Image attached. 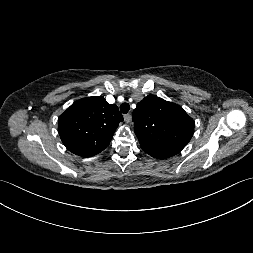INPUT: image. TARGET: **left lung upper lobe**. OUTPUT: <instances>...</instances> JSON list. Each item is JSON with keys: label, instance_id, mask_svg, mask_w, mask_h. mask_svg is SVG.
Here are the masks:
<instances>
[{"label": "left lung upper lobe", "instance_id": "5c2ea615", "mask_svg": "<svg viewBox=\"0 0 253 253\" xmlns=\"http://www.w3.org/2000/svg\"><path fill=\"white\" fill-rule=\"evenodd\" d=\"M134 132L148 154H178L194 133V120L182 107L154 95L145 97L132 114Z\"/></svg>", "mask_w": 253, "mask_h": 253}]
</instances>
